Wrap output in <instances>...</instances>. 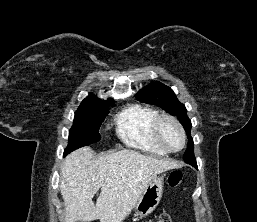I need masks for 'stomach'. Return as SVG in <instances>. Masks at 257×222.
Masks as SVG:
<instances>
[{"instance_id":"obj_1","label":"stomach","mask_w":257,"mask_h":222,"mask_svg":"<svg viewBox=\"0 0 257 222\" xmlns=\"http://www.w3.org/2000/svg\"><path fill=\"white\" fill-rule=\"evenodd\" d=\"M163 185V176L153 177L133 207L135 216L145 217L154 211L161 200Z\"/></svg>"}]
</instances>
